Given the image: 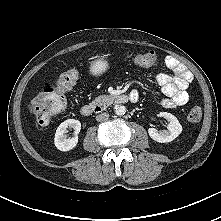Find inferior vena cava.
Returning <instances> with one entry per match:
<instances>
[{"instance_id":"inferior-vena-cava-1","label":"inferior vena cava","mask_w":221,"mask_h":221,"mask_svg":"<svg viewBox=\"0 0 221 221\" xmlns=\"http://www.w3.org/2000/svg\"><path fill=\"white\" fill-rule=\"evenodd\" d=\"M108 117H109V114L106 113V112H104V113L98 114V115L96 116V120H97L98 122H102V121H106V120L108 119Z\"/></svg>"}]
</instances>
